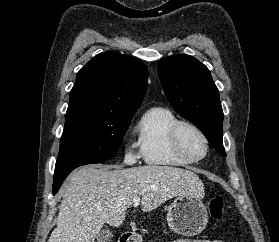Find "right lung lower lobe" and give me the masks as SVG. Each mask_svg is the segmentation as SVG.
<instances>
[{"instance_id":"98d812e1","label":"right lung lower lobe","mask_w":279,"mask_h":242,"mask_svg":"<svg viewBox=\"0 0 279 242\" xmlns=\"http://www.w3.org/2000/svg\"><path fill=\"white\" fill-rule=\"evenodd\" d=\"M66 178V177H65ZM64 178L54 181L53 183V194H56L62 184Z\"/></svg>"}]
</instances>
